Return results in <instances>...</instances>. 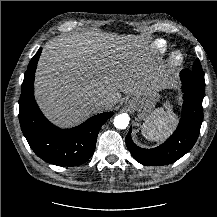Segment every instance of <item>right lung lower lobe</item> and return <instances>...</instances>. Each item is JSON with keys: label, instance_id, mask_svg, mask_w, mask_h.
I'll use <instances>...</instances> for the list:
<instances>
[{"label": "right lung lower lobe", "instance_id": "right-lung-lower-lobe-1", "mask_svg": "<svg viewBox=\"0 0 217 217\" xmlns=\"http://www.w3.org/2000/svg\"><path fill=\"white\" fill-rule=\"evenodd\" d=\"M41 48L31 59L22 83L19 99V121L31 149L44 161L58 166H77L93 154L101 126L113 112L91 117L83 124L60 129L50 123L34 98V76Z\"/></svg>", "mask_w": 217, "mask_h": 217}]
</instances>
